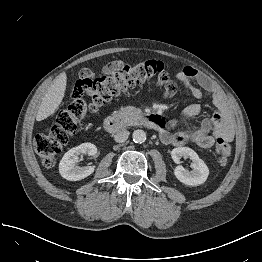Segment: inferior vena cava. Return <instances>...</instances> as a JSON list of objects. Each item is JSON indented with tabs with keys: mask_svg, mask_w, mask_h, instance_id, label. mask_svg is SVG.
<instances>
[{
	"mask_svg": "<svg viewBox=\"0 0 262 262\" xmlns=\"http://www.w3.org/2000/svg\"><path fill=\"white\" fill-rule=\"evenodd\" d=\"M128 136H129V132L123 129L115 134L114 139L116 142L122 143L128 139Z\"/></svg>",
	"mask_w": 262,
	"mask_h": 262,
	"instance_id": "obj_1",
	"label": "inferior vena cava"
}]
</instances>
